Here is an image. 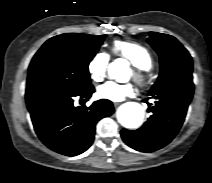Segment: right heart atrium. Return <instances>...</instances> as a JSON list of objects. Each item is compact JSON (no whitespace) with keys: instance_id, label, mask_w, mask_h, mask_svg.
Returning <instances> with one entry per match:
<instances>
[{"instance_id":"1","label":"right heart atrium","mask_w":212,"mask_h":183,"mask_svg":"<svg viewBox=\"0 0 212 183\" xmlns=\"http://www.w3.org/2000/svg\"><path fill=\"white\" fill-rule=\"evenodd\" d=\"M109 56L106 53H96L88 63L87 70L94 82L102 81L107 73Z\"/></svg>"}]
</instances>
